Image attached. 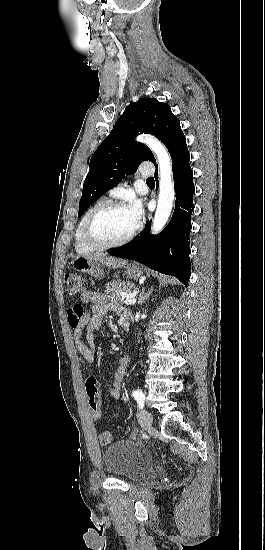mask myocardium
Returning <instances> with one entry per match:
<instances>
[{
    "label": "myocardium",
    "mask_w": 265,
    "mask_h": 550,
    "mask_svg": "<svg viewBox=\"0 0 265 550\" xmlns=\"http://www.w3.org/2000/svg\"><path fill=\"white\" fill-rule=\"evenodd\" d=\"M127 208L126 204L120 201H105L102 204L98 205L96 208H94L85 218L83 225H82V237L84 241L91 247L95 249H110L115 247H120L128 242H130L137 232L139 231L140 225L137 224L136 227L124 238L112 241V242H105L97 238L93 232H92V224L94 220L101 215L102 213L111 210V209H122Z\"/></svg>",
    "instance_id": "obj_1"
}]
</instances>
